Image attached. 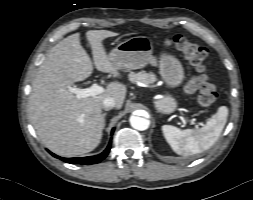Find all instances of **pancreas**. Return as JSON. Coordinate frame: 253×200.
Masks as SVG:
<instances>
[{
    "mask_svg": "<svg viewBox=\"0 0 253 200\" xmlns=\"http://www.w3.org/2000/svg\"><path fill=\"white\" fill-rule=\"evenodd\" d=\"M129 80L132 83H144L147 85L153 84L157 81V77L154 73H146L145 71L141 72H131L129 74Z\"/></svg>",
    "mask_w": 253,
    "mask_h": 200,
    "instance_id": "obj_1",
    "label": "pancreas"
}]
</instances>
